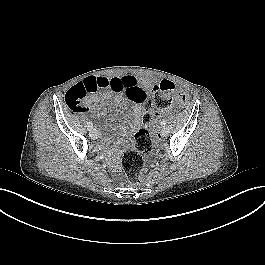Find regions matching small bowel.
I'll return each mask as SVG.
<instances>
[{
	"label": "small bowel",
	"instance_id": "small-bowel-1",
	"mask_svg": "<svg viewBox=\"0 0 265 265\" xmlns=\"http://www.w3.org/2000/svg\"><path fill=\"white\" fill-rule=\"evenodd\" d=\"M92 80L98 85V90H102V92L89 95L85 100L84 109H90L92 104L99 102L101 99L112 98L113 94L116 95L113 98L112 106L119 107L122 104V95H124L129 101L135 104L132 107V128H136L140 123L143 112L140 105L148 101L149 95L147 91L154 88L155 84L148 80L138 82L134 76L130 75L94 77ZM138 85L143 86L144 89L140 88Z\"/></svg>",
	"mask_w": 265,
	"mask_h": 265
}]
</instances>
